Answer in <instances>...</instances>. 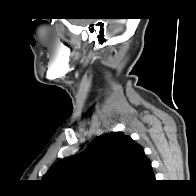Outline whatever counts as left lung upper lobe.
<instances>
[{
	"mask_svg": "<svg viewBox=\"0 0 196 196\" xmlns=\"http://www.w3.org/2000/svg\"><path fill=\"white\" fill-rule=\"evenodd\" d=\"M149 161L142 146L130 136L113 132L96 137L82 153L55 163L42 180L56 186H131Z\"/></svg>",
	"mask_w": 196,
	"mask_h": 196,
	"instance_id": "5c2ea615",
	"label": "left lung upper lobe"
}]
</instances>
